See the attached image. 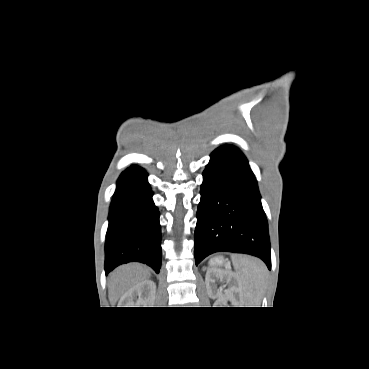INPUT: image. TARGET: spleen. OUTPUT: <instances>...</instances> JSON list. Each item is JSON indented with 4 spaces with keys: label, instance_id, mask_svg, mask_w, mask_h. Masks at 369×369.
Masks as SVG:
<instances>
[{
    "label": "spleen",
    "instance_id": "1",
    "mask_svg": "<svg viewBox=\"0 0 369 369\" xmlns=\"http://www.w3.org/2000/svg\"><path fill=\"white\" fill-rule=\"evenodd\" d=\"M232 262L239 278L244 301L248 307H260L266 282V267L258 259L232 255Z\"/></svg>",
    "mask_w": 369,
    "mask_h": 369
}]
</instances>
